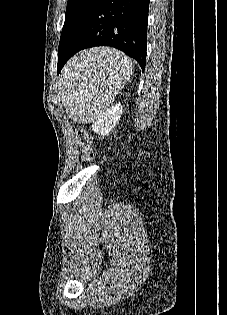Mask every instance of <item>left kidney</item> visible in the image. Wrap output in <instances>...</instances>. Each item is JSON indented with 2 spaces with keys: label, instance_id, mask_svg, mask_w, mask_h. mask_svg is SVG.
<instances>
[{
  "label": "left kidney",
  "instance_id": "obj_1",
  "mask_svg": "<svg viewBox=\"0 0 227 315\" xmlns=\"http://www.w3.org/2000/svg\"><path fill=\"white\" fill-rule=\"evenodd\" d=\"M122 105L120 103L110 107L92 124V130L99 135H107L116 126L122 114Z\"/></svg>",
  "mask_w": 227,
  "mask_h": 315
}]
</instances>
